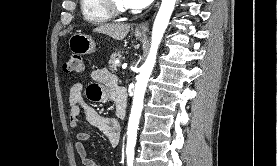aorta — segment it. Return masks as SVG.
Masks as SVG:
<instances>
[{
	"instance_id": "obj_1",
	"label": "aorta",
	"mask_w": 277,
	"mask_h": 166,
	"mask_svg": "<svg viewBox=\"0 0 277 166\" xmlns=\"http://www.w3.org/2000/svg\"><path fill=\"white\" fill-rule=\"evenodd\" d=\"M176 0H162L161 6L154 21L151 47L147 59L140 69L135 85L133 105L127 129V150H134L139 120L143 108L144 94L148 80L154 68L158 47L168 26L169 19L174 10Z\"/></svg>"
}]
</instances>
